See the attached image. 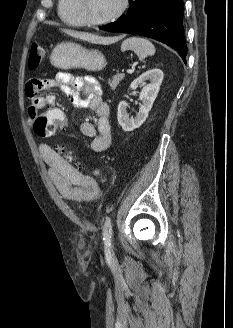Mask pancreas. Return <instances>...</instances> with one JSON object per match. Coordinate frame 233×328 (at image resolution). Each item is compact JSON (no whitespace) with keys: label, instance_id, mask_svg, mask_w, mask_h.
Masks as SVG:
<instances>
[{"label":"pancreas","instance_id":"1","mask_svg":"<svg viewBox=\"0 0 233 328\" xmlns=\"http://www.w3.org/2000/svg\"><path fill=\"white\" fill-rule=\"evenodd\" d=\"M124 74L123 73H117L116 75H114L112 77V79H109L108 84L109 86L114 90L116 89L117 85L119 84V82L124 78Z\"/></svg>","mask_w":233,"mask_h":328}]
</instances>
